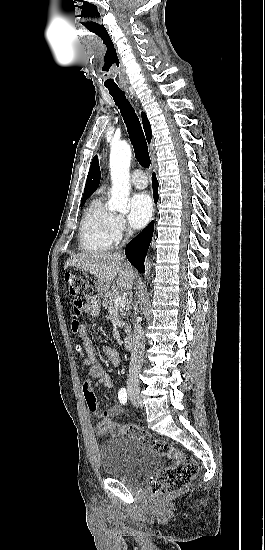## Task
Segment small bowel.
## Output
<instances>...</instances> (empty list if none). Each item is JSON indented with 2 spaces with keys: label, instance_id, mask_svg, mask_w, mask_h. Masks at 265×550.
I'll return each mask as SVG.
<instances>
[{
  "label": "small bowel",
  "instance_id": "1",
  "mask_svg": "<svg viewBox=\"0 0 265 550\" xmlns=\"http://www.w3.org/2000/svg\"><path fill=\"white\" fill-rule=\"evenodd\" d=\"M100 311V300L96 295L90 296L84 306V313L95 316ZM74 332L80 338L81 343L77 350L82 358L81 366L86 370L87 379L83 384V394L90 411L94 412L100 418H111L122 412L120 405H113L107 409H101L96 399L94 390L98 387L112 388L114 386L111 375L105 368L96 363V353L93 344L88 337L87 329L84 325L77 323ZM103 354L113 365H118L120 356L115 348L106 345L103 347Z\"/></svg>",
  "mask_w": 265,
  "mask_h": 550
}]
</instances>
